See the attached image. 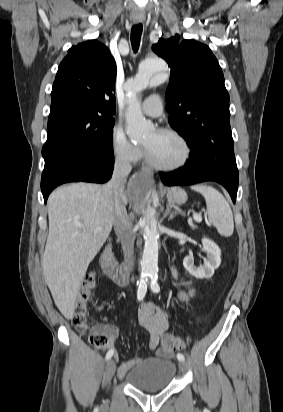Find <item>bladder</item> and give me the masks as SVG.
I'll return each instance as SVG.
<instances>
[{
  "label": "bladder",
  "mask_w": 283,
  "mask_h": 412,
  "mask_svg": "<svg viewBox=\"0 0 283 412\" xmlns=\"http://www.w3.org/2000/svg\"><path fill=\"white\" fill-rule=\"evenodd\" d=\"M177 367L174 361L148 359L142 361L125 375L126 382L144 392H158L167 389L175 379Z\"/></svg>",
  "instance_id": "bladder-1"
}]
</instances>
